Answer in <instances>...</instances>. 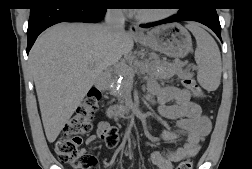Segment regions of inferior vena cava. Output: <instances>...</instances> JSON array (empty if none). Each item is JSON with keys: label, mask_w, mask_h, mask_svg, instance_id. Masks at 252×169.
<instances>
[{"label": "inferior vena cava", "mask_w": 252, "mask_h": 169, "mask_svg": "<svg viewBox=\"0 0 252 169\" xmlns=\"http://www.w3.org/2000/svg\"><path fill=\"white\" fill-rule=\"evenodd\" d=\"M125 17L122 9H107L104 31L108 36L119 37L125 32Z\"/></svg>", "instance_id": "602c4592"}]
</instances>
